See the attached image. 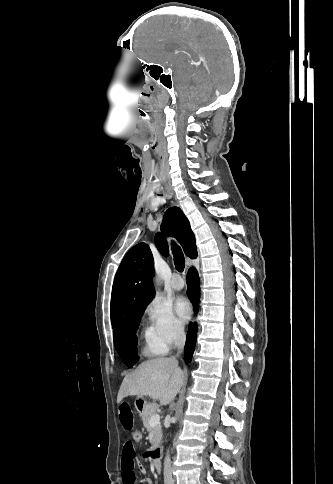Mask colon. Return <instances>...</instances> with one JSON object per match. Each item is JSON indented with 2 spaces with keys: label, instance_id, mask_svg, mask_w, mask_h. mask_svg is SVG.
Returning <instances> with one entry per match:
<instances>
[{
  "label": "colon",
  "instance_id": "colon-1",
  "mask_svg": "<svg viewBox=\"0 0 333 484\" xmlns=\"http://www.w3.org/2000/svg\"><path fill=\"white\" fill-rule=\"evenodd\" d=\"M132 437H133V440L135 442H140L142 440L143 435H142L141 431L135 430L132 433Z\"/></svg>",
  "mask_w": 333,
  "mask_h": 484
}]
</instances>
